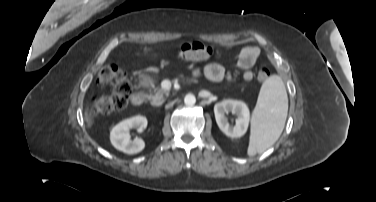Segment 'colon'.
Listing matches in <instances>:
<instances>
[{"label":"colon","mask_w":376,"mask_h":202,"mask_svg":"<svg viewBox=\"0 0 376 202\" xmlns=\"http://www.w3.org/2000/svg\"><path fill=\"white\" fill-rule=\"evenodd\" d=\"M217 50L207 44L194 41L180 45L176 50V57L189 61H205L215 56ZM270 75L266 64L260 63L257 69L258 80L264 81ZM100 85H112L111 95L95 99L91 105L92 113L104 115L124 109L129 102L132 86L123 70L115 65L103 67L98 74Z\"/></svg>","instance_id":"1"}]
</instances>
